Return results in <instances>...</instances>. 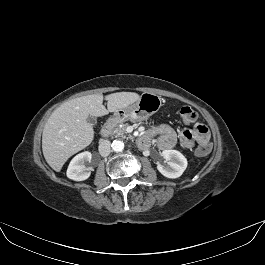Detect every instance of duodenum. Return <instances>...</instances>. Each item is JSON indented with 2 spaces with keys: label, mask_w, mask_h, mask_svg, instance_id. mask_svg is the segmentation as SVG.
<instances>
[{
  "label": "duodenum",
  "mask_w": 265,
  "mask_h": 265,
  "mask_svg": "<svg viewBox=\"0 0 265 265\" xmlns=\"http://www.w3.org/2000/svg\"><path fill=\"white\" fill-rule=\"evenodd\" d=\"M119 122V117L114 115L108 118V120L106 121L105 125L103 126L102 130H101V134L103 137H107L110 135V133L112 132L113 128L115 127V125ZM147 141V137L145 136H141L138 139V143L140 145L144 144Z\"/></svg>",
  "instance_id": "duodenum-1"
}]
</instances>
